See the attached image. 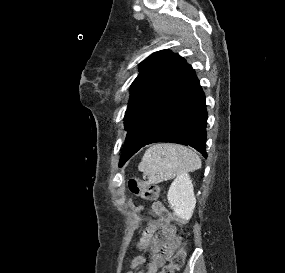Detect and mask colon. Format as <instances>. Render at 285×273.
<instances>
[{"label":"colon","instance_id":"colon-1","mask_svg":"<svg viewBox=\"0 0 285 273\" xmlns=\"http://www.w3.org/2000/svg\"><path fill=\"white\" fill-rule=\"evenodd\" d=\"M129 190L137 197L143 200H154L158 197V189L155 186L146 184L138 178H131L128 181ZM185 260V248L181 247L171 258V261L165 265L160 273H174L181 268Z\"/></svg>","mask_w":285,"mask_h":273}]
</instances>
